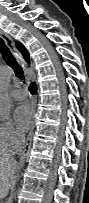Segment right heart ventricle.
<instances>
[{
    "instance_id": "right-heart-ventricle-1",
    "label": "right heart ventricle",
    "mask_w": 89,
    "mask_h": 203,
    "mask_svg": "<svg viewBox=\"0 0 89 203\" xmlns=\"http://www.w3.org/2000/svg\"><path fill=\"white\" fill-rule=\"evenodd\" d=\"M11 154H13V152H10L5 147H3L0 142V158L9 157Z\"/></svg>"
}]
</instances>
